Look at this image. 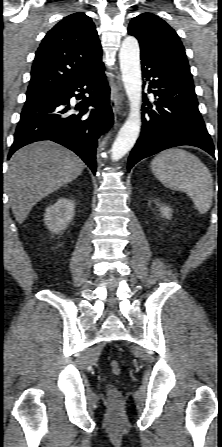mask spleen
<instances>
[{
  "label": "spleen",
  "mask_w": 222,
  "mask_h": 447,
  "mask_svg": "<svg viewBox=\"0 0 222 447\" xmlns=\"http://www.w3.org/2000/svg\"><path fill=\"white\" fill-rule=\"evenodd\" d=\"M151 169L164 186L187 193L201 214L210 209L212 176L198 157L182 149H168L152 160Z\"/></svg>",
  "instance_id": "obj_1"
}]
</instances>
